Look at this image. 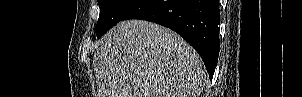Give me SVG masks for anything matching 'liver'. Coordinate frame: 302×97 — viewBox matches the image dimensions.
Listing matches in <instances>:
<instances>
[{
  "label": "liver",
  "mask_w": 302,
  "mask_h": 97,
  "mask_svg": "<svg viewBox=\"0 0 302 97\" xmlns=\"http://www.w3.org/2000/svg\"><path fill=\"white\" fill-rule=\"evenodd\" d=\"M98 97H199L207 73L177 33L143 20L121 21L93 56Z\"/></svg>",
  "instance_id": "obj_1"
}]
</instances>
